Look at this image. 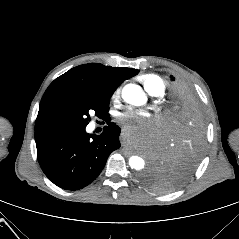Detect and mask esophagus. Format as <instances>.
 Here are the masks:
<instances>
[{
    "instance_id": "34e87169",
    "label": "esophagus",
    "mask_w": 239,
    "mask_h": 239,
    "mask_svg": "<svg viewBox=\"0 0 239 239\" xmlns=\"http://www.w3.org/2000/svg\"><path fill=\"white\" fill-rule=\"evenodd\" d=\"M119 139H120V142L122 143V144H125L126 143V136L124 135V134H120L119 135Z\"/></svg>"
}]
</instances>
